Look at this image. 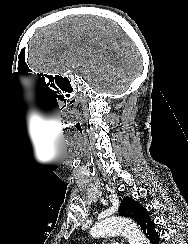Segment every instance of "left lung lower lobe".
I'll use <instances>...</instances> for the list:
<instances>
[{
  "instance_id": "1",
  "label": "left lung lower lobe",
  "mask_w": 188,
  "mask_h": 244,
  "mask_svg": "<svg viewBox=\"0 0 188 244\" xmlns=\"http://www.w3.org/2000/svg\"><path fill=\"white\" fill-rule=\"evenodd\" d=\"M140 227L142 228L144 234L146 235L151 244H159V235L148 213L144 215Z\"/></svg>"
}]
</instances>
